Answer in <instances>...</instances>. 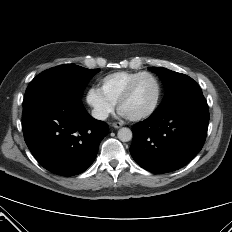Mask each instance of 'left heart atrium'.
Segmentation results:
<instances>
[{
  "label": "left heart atrium",
  "mask_w": 232,
  "mask_h": 232,
  "mask_svg": "<svg viewBox=\"0 0 232 232\" xmlns=\"http://www.w3.org/2000/svg\"><path fill=\"white\" fill-rule=\"evenodd\" d=\"M121 115H122V116H126L123 112H121Z\"/></svg>",
  "instance_id": "39dd6f15"
}]
</instances>
